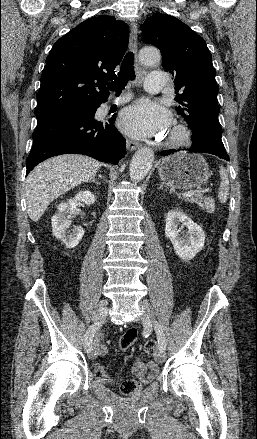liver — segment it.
<instances>
[{
    "label": "liver",
    "mask_w": 257,
    "mask_h": 439,
    "mask_svg": "<svg viewBox=\"0 0 257 439\" xmlns=\"http://www.w3.org/2000/svg\"><path fill=\"white\" fill-rule=\"evenodd\" d=\"M101 163L83 155L65 154L40 164L26 180L25 196L30 219L37 222L61 194L92 180Z\"/></svg>",
    "instance_id": "obj_1"
}]
</instances>
